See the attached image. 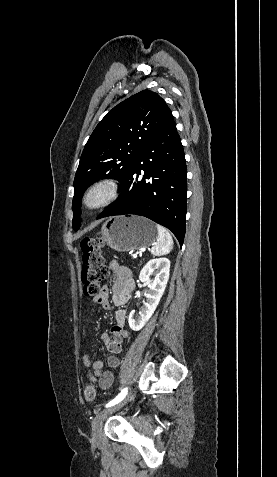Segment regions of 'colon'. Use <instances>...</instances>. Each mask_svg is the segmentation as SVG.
I'll use <instances>...</instances> for the list:
<instances>
[{
	"mask_svg": "<svg viewBox=\"0 0 277 477\" xmlns=\"http://www.w3.org/2000/svg\"><path fill=\"white\" fill-rule=\"evenodd\" d=\"M80 248L83 292L91 302H98L103 290L102 282L108 275L102 256V241L96 237H85L81 240ZM84 397L88 402L95 400L96 389L92 384L86 386Z\"/></svg>",
	"mask_w": 277,
	"mask_h": 477,
	"instance_id": "colon-1",
	"label": "colon"
}]
</instances>
